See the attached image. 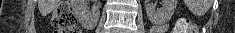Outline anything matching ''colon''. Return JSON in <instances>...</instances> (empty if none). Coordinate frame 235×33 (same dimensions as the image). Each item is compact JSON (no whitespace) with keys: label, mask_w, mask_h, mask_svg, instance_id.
<instances>
[{"label":"colon","mask_w":235,"mask_h":33,"mask_svg":"<svg viewBox=\"0 0 235 33\" xmlns=\"http://www.w3.org/2000/svg\"><path fill=\"white\" fill-rule=\"evenodd\" d=\"M55 33H79L77 19L66 2L60 3L52 16ZM196 28L188 20L181 19L173 33H194Z\"/></svg>","instance_id":"colon-1"}]
</instances>
